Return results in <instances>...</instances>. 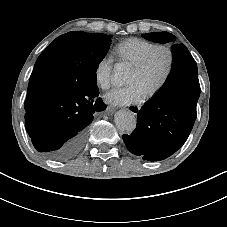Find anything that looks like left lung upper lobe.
Segmentation results:
<instances>
[{
    "label": "left lung upper lobe",
    "mask_w": 227,
    "mask_h": 227,
    "mask_svg": "<svg viewBox=\"0 0 227 227\" xmlns=\"http://www.w3.org/2000/svg\"><path fill=\"white\" fill-rule=\"evenodd\" d=\"M146 39L159 42V43H168L175 40V36L168 32H159V33H148L143 35ZM178 46H185L183 44L180 45H173L172 51L176 49Z\"/></svg>",
    "instance_id": "1"
}]
</instances>
